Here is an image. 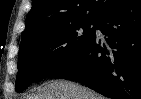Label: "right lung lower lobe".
Wrapping results in <instances>:
<instances>
[{
  "label": "right lung lower lobe",
  "instance_id": "1",
  "mask_svg": "<svg viewBox=\"0 0 141 99\" xmlns=\"http://www.w3.org/2000/svg\"><path fill=\"white\" fill-rule=\"evenodd\" d=\"M96 35L52 77L78 81L111 99H141V0H117L96 21Z\"/></svg>",
  "mask_w": 141,
  "mask_h": 99
}]
</instances>
